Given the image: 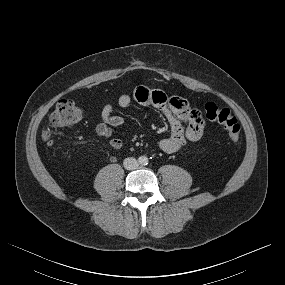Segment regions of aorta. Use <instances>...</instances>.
I'll use <instances>...</instances> for the list:
<instances>
[{
  "label": "aorta",
  "mask_w": 285,
  "mask_h": 285,
  "mask_svg": "<svg viewBox=\"0 0 285 285\" xmlns=\"http://www.w3.org/2000/svg\"><path fill=\"white\" fill-rule=\"evenodd\" d=\"M139 162L142 165H146V164H148V158L145 157V156H142V157L139 158Z\"/></svg>",
  "instance_id": "obj_1"
}]
</instances>
